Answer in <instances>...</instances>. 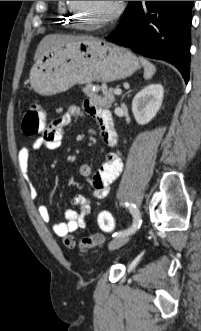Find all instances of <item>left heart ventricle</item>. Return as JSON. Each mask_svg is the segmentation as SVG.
Segmentation results:
<instances>
[{"label":"left heart ventricle","instance_id":"1","mask_svg":"<svg viewBox=\"0 0 201 331\" xmlns=\"http://www.w3.org/2000/svg\"><path fill=\"white\" fill-rule=\"evenodd\" d=\"M116 1H75L83 17L90 23L97 22L109 14Z\"/></svg>","mask_w":201,"mask_h":331}]
</instances>
